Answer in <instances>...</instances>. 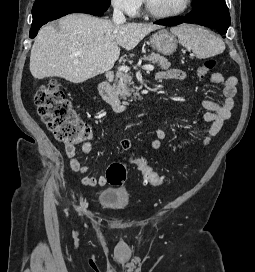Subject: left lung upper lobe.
Returning <instances> with one entry per match:
<instances>
[{"label":"left lung upper lobe","instance_id":"obj_1","mask_svg":"<svg viewBox=\"0 0 255 272\" xmlns=\"http://www.w3.org/2000/svg\"><path fill=\"white\" fill-rule=\"evenodd\" d=\"M193 1H194V6H196V5L200 4L204 0H193Z\"/></svg>","mask_w":255,"mask_h":272}]
</instances>
